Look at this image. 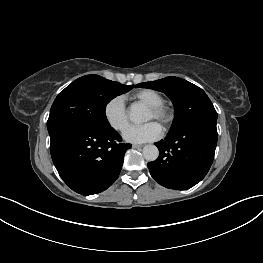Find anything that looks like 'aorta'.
Masks as SVG:
<instances>
[{
    "label": "aorta",
    "instance_id": "1",
    "mask_svg": "<svg viewBox=\"0 0 263 263\" xmlns=\"http://www.w3.org/2000/svg\"><path fill=\"white\" fill-rule=\"evenodd\" d=\"M130 120L134 123H142L147 120V112L143 105L132 104L129 112ZM143 155L146 160L154 161L158 158L159 151L155 145H146L143 148Z\"/></svg>",
    "mask_w": 263,
    "mask_h": 263
}]
</instances>
